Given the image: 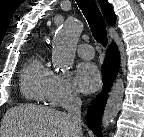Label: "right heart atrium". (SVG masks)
Masks as SVG:
<instances>
[{
	"mask_svg": "<svg viewBox=\"0 0 144 137\" xmlns=\"http://www.w3.org/2000/svg\"><path fill=\"white\" fill-rule=\"evenodd\" d=\"M78 100V94L71 80L62 75H55L48 96V103L55 107L65 108Z\"/></svg>",
	"mask_w": 144,
	"mask_h": 137,
	"instance_id": "right-heart-atrium-1",
	"label": "right heart atrium"
}]
</instances>
